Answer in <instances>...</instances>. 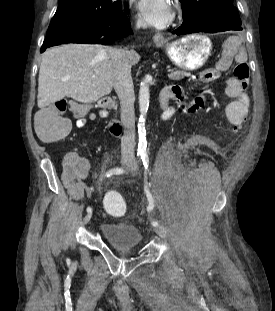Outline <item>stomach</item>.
<instances>
[{
    "label": "stomach",
    "instance_id": "stomach-1",
    "mask_svg": "<svg viewBox=\"0 0 275 311\" xmlns=\"http://www.w3.org/2000/svg\"><path fill=\"white\" fill-rule=\"evenodd\" d=\"M165 50L169 59L185 70H195L202 67L208 60L212 43L204 35L192 34L177 41L158 45Z\"/></svg>",
    "mask_w": 275,
    "mask_h": 311
}]
</instances>
